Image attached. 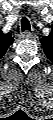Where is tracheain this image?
<instances>
[{
	"label": "trachea",
	"mask_w": 53,
	"mask_h": 120,
	"mask_svg": "<svg viewBox=\"0 0 53 120\" xmlns=\"http://www.w3.org/2000/svg\"><path fill=\"white\" fill-rule=\"evenodd\" d=\"M21 29L22 31H30L31 30V25H30V22L27 18L23 17L21 19Z\"/></svg>",
	"instance_id": "1"
}]
</instances>
